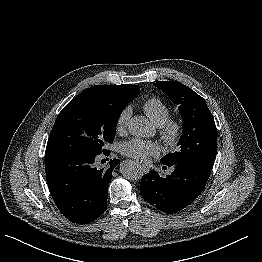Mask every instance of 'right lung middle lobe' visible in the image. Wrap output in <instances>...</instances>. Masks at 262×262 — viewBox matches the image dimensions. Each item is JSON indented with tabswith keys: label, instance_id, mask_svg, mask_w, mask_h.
<instances>
[{
	"label": "right lung middle lobe",
	"instance_id": "right-lung-middle-lobe-1",
	"mask_svg": "<svg viewBox=\"0 0 262 262\" xmlns=\"http://www.w3.org/2000/svg\"><path fill=\"white\" fill-rule=\"evenodd\" d=\"M108 98L84 90L59 113L49 135L46 151L100 154L115 138L116 125L126 105L138 96Z\"/></svg>",
	"mask_w": 262,
	"mask_h": 262
}]
</instances>
